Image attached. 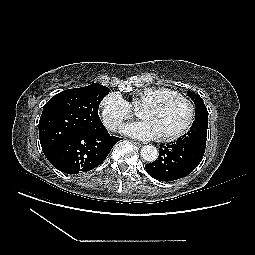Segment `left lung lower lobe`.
Listing matches in <instances>:
<instances>
[{"label": "left lung lower lobe", "instance_id": "0a47b994", "mask_svg": "<svg viewBox=\"0 0 255 255\" xmlns=\"http://www.w3.org/2000/svg\"><path fill=\"white\" fill-rule=\"evenodd\" d=\"M207 128L192 130L176 143L161 146L158 160L146 164L147 173L159 181H172L191 173L201 161L206 148Z\"/></svg>", "mask_w": 255, "mask_h": 255}]
</instances>
